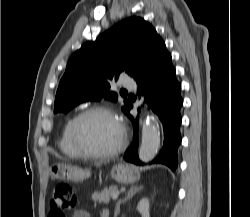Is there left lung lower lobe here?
<instances>
[{"label": "left lung lower lobe", "mask_w": 250, "mask_h": 217, "mask_svg": "<svg viewBox=\"0 0 250 217\" xmlns=\"http://www.w3.org/2000/svg\"><path fill=\"white\" fill-rule=\"evenodd\" d=\"M134 79L138 85L139 97L144 98L148 107L156 113L163 124L164 144L152 162L165 164L174 171L177 167V149L181 143L179 127L181 125L180 108L183 100L180 95L181 84L176 79L171 54L167 51L163 40L158 44L150 64ZM132 107L133 105L130 103L126 115L134 126V142L126 151L124 159L141 165L142 162L137 154L138 117L135 120L130 115L129 111Z\"/></svg>", "instance_id": "0a47b994"}]
</instances>
